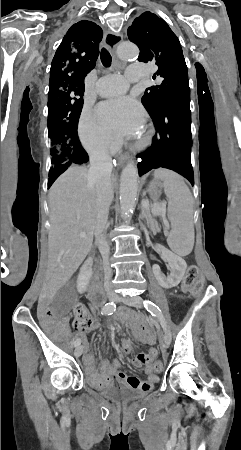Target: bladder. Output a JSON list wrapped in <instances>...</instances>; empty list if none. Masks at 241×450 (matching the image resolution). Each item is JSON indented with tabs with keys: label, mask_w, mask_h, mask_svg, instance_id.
Returning <instances> with one entry per match:
<instances>
[{
	"label": "bladder",
	"mask_w": 241,
	"mask_h": 450,
	"mask_svg": "<svg viewBox=\"0 0 241 450\" xmlns=\"http://www.w3.org/2000/svg\"><path fill=\"white\" fill-rule=\"evenodd\" d=\"M103 394L116 402H130L138 399L141 393L122 382L109 384L103 389Z\"/></svg>",
	"instance_id": "1"
}]
</instances>
